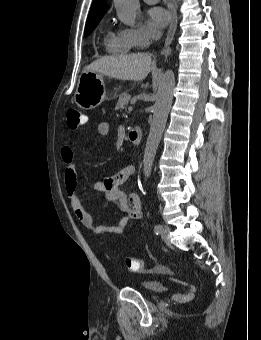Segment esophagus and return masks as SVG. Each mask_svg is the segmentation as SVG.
I'll list each match as a JSON object with an SVG mask.
<instances>
[{
    "mask_svg": "<svg viewBox=\"0 0 261 340\" xmlns=\"http://www.w3.org/2000/svg\"><path fill=\"white\" fill-rule=\"evenodd\" d=\"M169 10H170V16H171V23H170V26H169V29H168V32H167V37H166V40H165V46H164V49H163V51L165 53H168L170 51L169 46H170V44L173 40L175 31H176V27H177V17H176L175 10L172 6H169Z\"/></svg>",
    "mask_w": 261,
    "mask_h": 340,
    "instance_id": "esophagus-1",
    "label": "esophagus"
}]
</instances>
